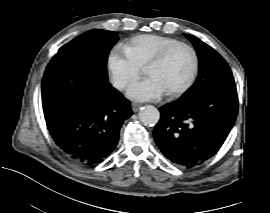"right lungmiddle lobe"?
<instances>
[{"label": "right lung middle lobe", "mask_w": 270, "mask_h": 213, "mask_svg": "<svg viewBox=\"0 0 270 213\" xmlns=\"http://www.w3.org/2000/svg\"><path fill=\"white\" fill-rule=\"evenodd\" d=\"M116 32L94 29L62 46L49 62L46 73L90 74L108 80V53L117 42Z\"/></svg>", "instance_id": "right-lung-middle-lobe-1"}]
</instances>
